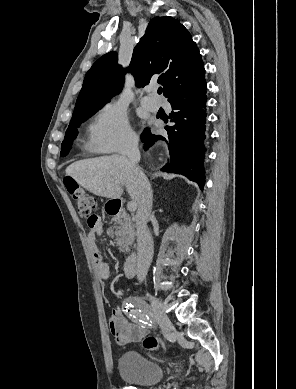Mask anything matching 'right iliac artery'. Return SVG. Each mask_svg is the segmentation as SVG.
<instances>
[{
	"mask_svg": "<svg viewBox=\"0 0 296 389\" xmlns=\"http://www.w3.org/2000/svg\"><path fill=\"white\" fill-rule=\"evenodd\" d=\"M126 312L129 317L134 321H139L145 325L152 326L148 324V321L151 320L149 314H139V309H149V306L140 298L130 297L126 300L125 303ZM150 310V309H149Z\"/></svg>",
	"mask_w": 296,
	"mask_h": 389,
	"instance_id": "obj_1",
	"label": "right iliac artery"
}]
</instances>
